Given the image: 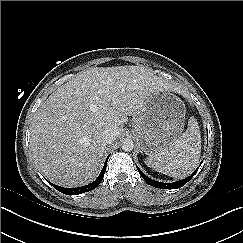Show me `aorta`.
Here are the masks:
<instances>
[{
  "label": "aorta",
  "instance_id": "762f6f07",
  "mask_svg": "<svg viewBox=\"0 0 243 243\" xmlns=\"http://www.w3.org/2000/svg\"><path fill=\"white\" fill-rule=\"evenodd\" d=\"M134 148V142L131 139H124L122 142V150L126 152L132 151Z\"/></svg>",
  "mask_w": 243,
  "mask_h": 243
}]
</instances>
